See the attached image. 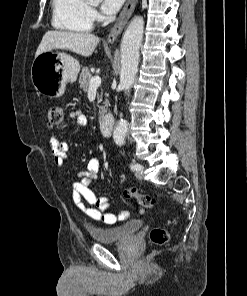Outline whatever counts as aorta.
Segmentation results:
<instances>
[{
    "label": "aorta",
    "mask_w": 247,
    "mask_h": 296,
    "mask_svg": "<svg viewBox=\"0 0 247 296\" xmlns=\"http://www.w3.org/2000/svg\"><path fill=\"white\" fill-rule=\"evenodd\" d=\"M100 2L101 0H91ZM144 20L141 16L132 19L121 42V71L120 87L125 93L131 89L139 63V48L143 39ZM128 125L125 120H120L114 130L113 139L116 145H123L127 134Z\"/></svg>",
    "instance_id": "762f6f07"
}]
</instances>
